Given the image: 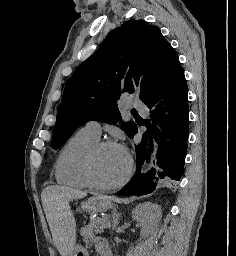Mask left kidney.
Returning <instances> with one entry per match:
<instances>
[{
	"mask_svg": "<svg viewBox=\"0 0 236 256\" xmlns=\"http://www.w3.org/2000/svg\"><path fill=\"white\" fill-rule=\"evenodd\" d=\"M161 216L160 206H158V204H152V202L139 204V206H136L132 212L133 220L142 224V238H146L150 232L157 230Z\"/></svg>",
	"mask_w": 236,
	"mask_h": 256,
	"instance_id": "left-kidney-1",
	"label": "left kidney"
}]
</instances>
